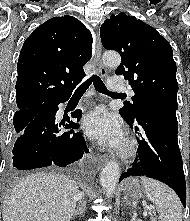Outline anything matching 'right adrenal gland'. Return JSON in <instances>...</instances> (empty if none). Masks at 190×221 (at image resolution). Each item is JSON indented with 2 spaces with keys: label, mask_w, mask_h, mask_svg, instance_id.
Segmentation results:
<instances>
[{
  "label": "right adrenal gland",
  "mask_w": 190,
  "mask_h": 221,
  "mask_svg": "<svg viewBox=\"0 0 190 221\" xmlns=\"http://www.w3.org/2000/svg\"><path fill=\"white\" fill-rule=\"evenodd\" d=\"M84 211H85V202L84 201H80L79 202V207H77L76 210L74 211L72 219H75V216L83 215Z\"/></svg>",
  "instance_id": "1"
}]
</instances>
